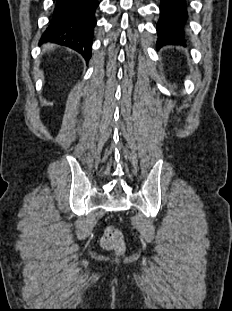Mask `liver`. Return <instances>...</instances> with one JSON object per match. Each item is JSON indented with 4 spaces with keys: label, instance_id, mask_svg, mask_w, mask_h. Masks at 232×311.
Here are the masks:
<instances>
[{
    "label": "liver",
    "instance_id": "liver-1",
    "mask_svg": "<svg viewBox=\"0 0 232 311\" xmlns=\"http://www.w3.org/2000/svg\"><path fill=\"white\" fill-rule=\"evenodd\" d=\"M48 47H52V45H45L44 49L48 48Z\"/></svg>",
    "mask_w": 232,
    "mask_h": 311
}]
</instances>
